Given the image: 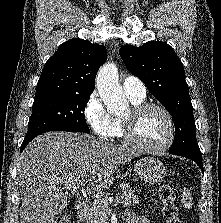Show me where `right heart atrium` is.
<instances>
[{
    "mask_svg": "<svg viewBox=\"0 0 221 223\" xmlns=\"http://www.w3.org/2000/svg\"><path fill=\"white\" fill-rule=\"evenodd\" d=\"M83 114L92 132L99 138L110 139L115 134V120L109 115L97 92L88 97Z\"/></svg>",
    "mask_w": 221,
    "mask_h": 223,
    "instance_id": "obj_1",
    "label": "right heart atrium"
}]
</instances>
